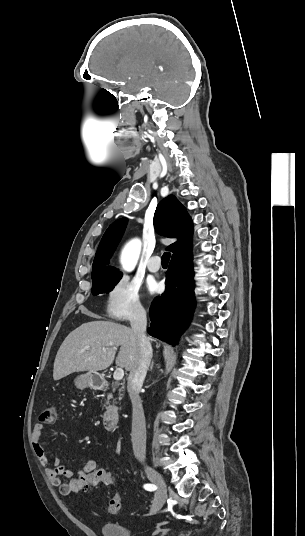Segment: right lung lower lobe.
Masks as SVG:
<instances>
[{
    "label": "right lung lower lobe",
    "mask_w": 305,
    "mask_h": 536,
    "mask_svg": "<svg viewBox=\"0 0 305 536\" xmlns=\"http://www.w3.org/2000/svg\"><path fill=\"white\" fill-rule=\"evenodd\" d=\"M195 307L194 272L191 251L171 259L166 275V291L150 308L148 333L170 344H177L190 323Z\"/></svg>",
    "instance_id": "obj_1"
}]
</instances>
